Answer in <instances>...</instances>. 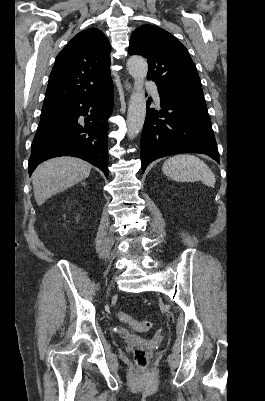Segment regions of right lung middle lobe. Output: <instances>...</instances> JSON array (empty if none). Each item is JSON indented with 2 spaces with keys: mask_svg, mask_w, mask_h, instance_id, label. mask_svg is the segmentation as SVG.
Returning a JSON list of instances; mask_svg holds the SVG:
<instances>
[{
  "mask_svg": "<svg viewBox=\"0 0 265 401\" xmlns=\"http://www.w3.org/2000/svg\"><path fill=\"white\" fill-rule=\"evenodd\" d=\"M55 106H59V105H55ZM55 106H51V107H55ZM47 108H49V107H47ZM43 109H46V108H43ZM43 109H42V110H43Z\"/></svg>",
  "mask_w": 265,
  "mask_h": 401,
  "instance_id": "right-lung-middle-lobe-1",
  "label": "right lung middle lobe"
}]
</instances>
